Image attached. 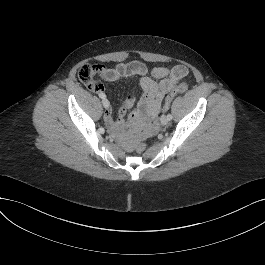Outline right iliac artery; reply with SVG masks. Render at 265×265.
Instances as JSON below:
<instances>
[{
    "mask_svg": "<svg viewBox=\"0 0 265 265\" xmlns=\"http://www.w3.org/2000/svg\"><path fill=\"white\" fill-rule=\"evenodd\" d=\"M99 97L102 98V99H105L106 98V95L104 93H100L99 94Z\"/></svg>",
    "mask_w": 265,
    "mask_h": 265,
    "instance_id": "82829eb1",
    "label": "right iliac artery"
}]
</instances>
